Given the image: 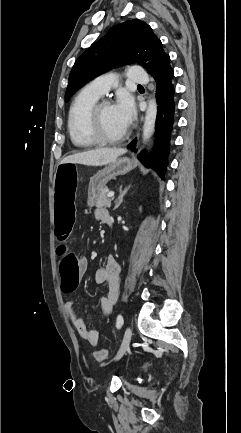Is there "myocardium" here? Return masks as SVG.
<instances>
[{"label": "myocardium", "instance_id": "obj_1", "mask_svg": "<svg viewBox=\"0 0 241 433\" xmlns=\"http://www.w3.org/2000/svg\"><path fill=\"white\" fill-rule=\"evenodd\" d=\"M112 103L103 99L97 101L90 110L87 122V128L90 136L98 144H116L125 140L129 134L128 129H126L121 135L117 137H108L104 134L101 128V112L105 106H110Z\"/></svg>", "mask_w": 241, "mask_h": 433}]
</instances>
